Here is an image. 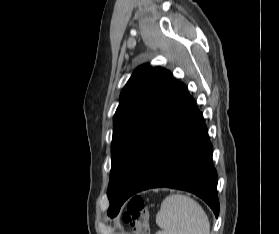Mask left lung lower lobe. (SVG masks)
<instances>
[{"instance_id":"0a47b994","label":"left lung lower lobe","mask_w":279,"mask_h":234,"mask_svg":"<svg viewBox=\"0 0 279 234\" xmlns=\"http://www.w3.org/2000/svg\"><path fill=\"white\" fill-rule=\"evenodd\" d=\"M153 187L186 190L219 214L217 172L203 115L186 86L173 79L139 145L120 200Z\"/></svg>"}]
</instances>
